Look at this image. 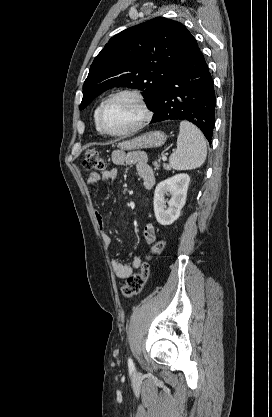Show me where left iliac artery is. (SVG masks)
<instances>
[{"instance_id":"1","label":"left iliac artery","mask_w":272,"mask_h":417,"mask_svg":"<svg viewBox=\"0 0 272 417\" xmlns=\"http://www.w3.org/2000/svg\"><path fill=\"white\" fill-rule=\"evenodd\" d=\"M128 367L130 370H134V363L131 358H128Z\"/></svg>"}]
</instances>
